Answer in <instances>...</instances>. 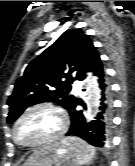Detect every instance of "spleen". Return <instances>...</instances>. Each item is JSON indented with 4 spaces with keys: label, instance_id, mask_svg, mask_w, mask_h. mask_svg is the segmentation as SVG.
<instances>
[{
    "label": "spleen",
    "instance_id": "spleen-1",
    "mask_svg": "<svg viewBox=\"0 0 135 166\" xmlns=\"http://www.w3.org/2000/svg\"><path fill=\"white\" fill-rule=\"evenodd\" d=\"M62 142L74 151L76 166L90 162L95 156V148L77 137H67Z\"/></svg>",
    "mask_w": 135,
    "mask_h": 166
}]
</instances>
